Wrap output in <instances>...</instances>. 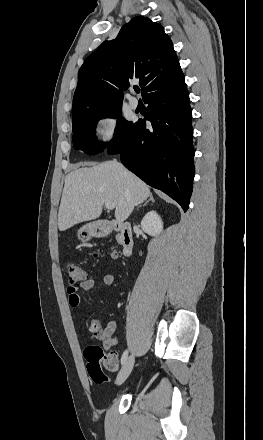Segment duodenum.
Segmentation results:
<instances>
[{
	"mask_svg": "<svg viewBox=\"0 0 263 440\" xmlns=\"http://www.w3.org/2000/svg\"><path fill=\"white\" fill-rule=\"evenodd\" d=\"M111 231L118 232L122 253L125 257L130 256L134 248L131 225L128 222L109 220L102 227V232L108 234Z\"/></svg>",
	"mask_w": 263,
	"mask_h": 440,
	"instance_id": "410a0bca",
	"label": "duodenum"
}]
</instances>
